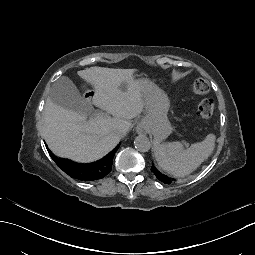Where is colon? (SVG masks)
Here are the masks:
<instances>
[{
    "label": "colon",
    "mask_w": 255,
    "mask_h": 255,
    "mask_svg": "<svg viewBox=\"0 0 255 255\" xmlns=\"http://www.w3.org/2000/svg\"><path fill=\"white\" fill-rule=\"evenodd\" d=\"M192 91L197 95H204L209 91V84L202 78H197L192 83ZM214 112V102L204 99L197 107L196 115L199 120L209 119Z\"/></svg>",
    "instance_id": "colon-1"
}]
</instances>
